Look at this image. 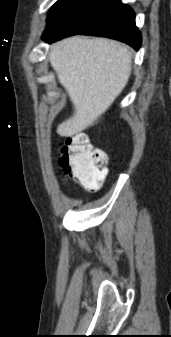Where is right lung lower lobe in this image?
<instances>
[{"instance_id": "right-lung-lower-lobe-1", "label": "right lung lower lobe", "mask_w": 171, "mask_h": 337, "mask_svg": "<svg viewBox=\"0 0 171 337\" xmlns=\"http://www.w3.org/2000/svg\"><path fill=\"white\" fill-rule=\"evenodd\" d=\"M76 34L113 38L136 50L142 42L135 25V13L121 0H74L48 24L43 40L55 42Z\"/></svg>"}]
</instances>
